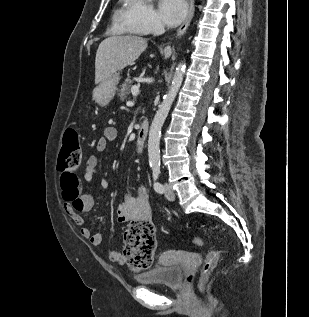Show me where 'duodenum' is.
Masks as SVG:
<instances>
[{"label":"duodenum","mask_w":309,"mask_h":317,"mask_svg":"<svg viewBox=\"0 0 309 317\" xmlns=\"http://www.w3.org/2000/svg\"><path fill=\"white\" fill-rule=\"evenodd\" d=\"M148 131H149V124L145 120L139 125L138 131H137L136 150L138 152L142 151V149H143L144 143H145L147 135H148Z\"/></svg>","instance_id":"obj_1"}]
</instances>
